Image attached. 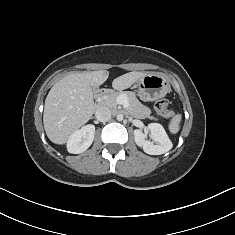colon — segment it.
<instances>
[{
    "label": "colon",
    "mask_w": 235,
    "mask_h": 235,
    "mask_svg": "<svg viewBox=\"0 0 235 235\" xmlns=\"http://www.w3.org/2000/svg\"><path fill=\"white\" fill-rule=\"evenodd\" d=\"M156 111L164 117H172L173 113L169 110V102L167 99H160L155 104Z\"/></svg>",
    "instance_id": "1"
}]
</instances>
